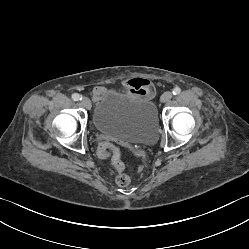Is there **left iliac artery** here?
Wrapping results in <instances>:
<instances>
[{"instance_id": "44dca946", "label": "left iliac artery", "mask_w": 249, "mask_h": 249, "mask_svg": "<svg viewBox=\"0 0 249 249\" xmlns=\"http://www.w3.org/2000/svg\"><path fill=\"white\" fill-rule=\"evenodd\" d=\"M180 92H181V89H180L179 87H175V88L173 89V91H172V93H173L174 95H178V94H180Z\"/></svg>"}]
</instances>
